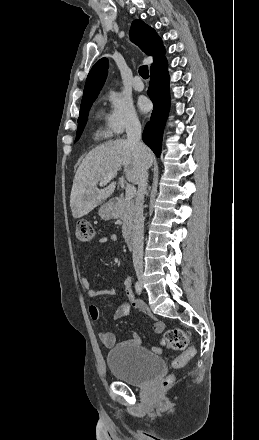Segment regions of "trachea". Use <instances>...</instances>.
Wrapping results in <instances>:
<instances>
[{
	"label": "trachea",
	"mask_w": 259,
	"mask_h": 440,
	"mask_svg": "<svg viewBox=\"0 0 259 440\" xmlns=\"http://www.w3.org/2000/svg\"><path fill=\"white\" fill-rule=\"evenodd\" d=\"M139 74L142 78L147 79L149 77L148 66L144 65L139 68Z\"/></svg>",
	"instance_id": "trachea-1"
}]
</instances>
